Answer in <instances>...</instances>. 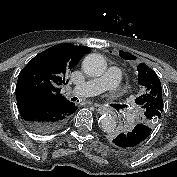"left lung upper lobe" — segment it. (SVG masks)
Instances as JSON below:
<instances>
[{"label": "left lung upper lobe", "mask_w": 177, "mask_h": 177, "mask_svg": "<svg viewBox=\"0 0 177 177\" xmlns=\"http://www.w3.org/2000/svg\"><path fill=\"white\" fill-rule=\"evenodd\" d=\"M138 83L141 94L135 99V103L142 110L141 123L153 128L163 112L161 82L154 70L141 63L138 66Z\"/></svg>", "instance_id": "1"}]
</instances>
